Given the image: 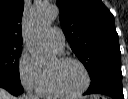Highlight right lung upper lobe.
Instances as JSON below:
<instances>
[{"mask_svg": "<svg viewBox=\"0 0 128 99\" xmlns=\"http://www.w3.org/2000/svg\"><path fill=\"white\" fill-rule=\"evenodd\" d=\"M24 0H0V45L21 47Z\"/></svg>", "mask_w": 128, "mask_h": 99, "instance_id": "cb5924a9", "label": "right lung upper lobe"}]
</instances>
